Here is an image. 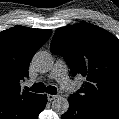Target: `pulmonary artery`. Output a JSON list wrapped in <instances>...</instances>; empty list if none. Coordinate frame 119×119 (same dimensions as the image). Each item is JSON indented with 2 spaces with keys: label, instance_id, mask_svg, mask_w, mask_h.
<instances>
[{
  "label": "pulmonary artery",
  "instance_id": "pulmonary-artery-1",
  "mask_svg": "<svg viewBox=\"0 0 119 119\" xmlns=\"http://www.w3.org/2000/svg\"><path fill=\"white\" fill-rule=\"evenodd\" d=\"M49 77L57 80L64 90H73V84L67 75L66 64L62 60L55 63Z\"/></svg>",
  "mask_w": 119,
  "mask_h": 119
}]
</instances>
